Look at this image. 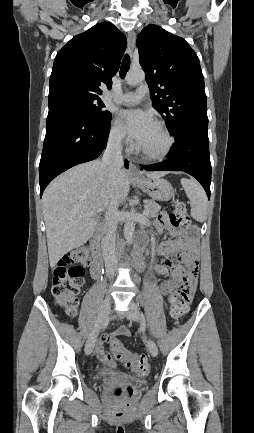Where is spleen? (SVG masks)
I'll return each instance as SVG.
<instances>
[{
  "label": "spleen",
  "instance_id": "1",
  "mask_svg": "<svg viewBox=\"0 0 254 433\" xmlns=\"http://www.w3.org/2000/svg\"><path fill=\"white\" fill-rule=\"evenodd\" d=\"M181 185L190 200L191 216L198 222H203L207 216V197L203 188L194 180L182 178Z\"/></svg>",
  "mask_w": 254,
  "mask_h": 433
}]
</instances>
